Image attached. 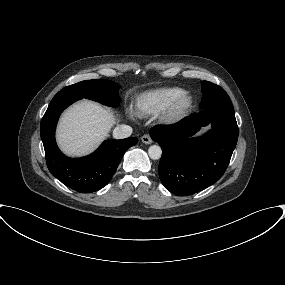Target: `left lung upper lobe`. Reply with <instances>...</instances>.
<instances>
[{
  "label": "left lung upper lobe",
  "mask_w": 285,
  "mask_h": 285,
  "mask_svg": "<svg viewBox=\"0 0 285 285\" xmlns=\"http://www.w3.org/2000/svg\"><path fill=\"white\" fill-rule=\"evenodd\" d=\"M201 86L203 97L199 106L200 109L222 107L234 110L230 97L220 86L208 81H203Z\"/></svg>",
  "instance_id": "obj_1"
}]
</instances>
